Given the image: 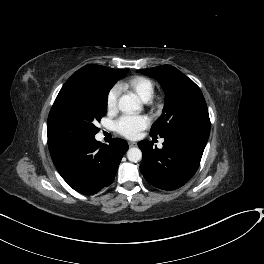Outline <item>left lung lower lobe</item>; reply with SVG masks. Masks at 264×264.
<instances>
[{
	"mask_svg": "<svg viewBox=\"0 0 264 264\" xmlns=\"http://www.w3.org/2000/svg\"><path fill=\"white\" fill-rule=\"evenodd\" d=\"M210 128L186 125L164 137L163 148H153L150 141H140L144 178L154 187L174 190L196 173L209 137Z\"/></svg>",
	"mask_w": 264,
	"mask_h": 264,
	"instance_id": "left-lung-lower-lobe-1",
	"label": "left lung lower lobe"
}]
</instances>
